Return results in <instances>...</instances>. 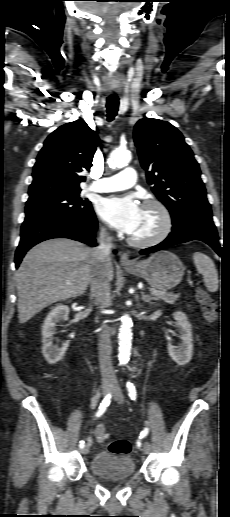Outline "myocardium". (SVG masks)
<instances>
[{"mask_svg": "<svg viewBox=\"0 0 230 517\" xmlns=\"http://www.w3.org/2000/svg\"><path fill=\"white\" fill-rule=\"evenodd\" d=\"M152 207L157 210L161 218V225L159 230L148 238H135L129 236V243L135 247H150L157 245L164 241L172 232L173 217L169 208L159 199H147L143 203V208Z\"/></svg>", "mask_w": 230, "mask_h": 517, "instance_id": "myocardium-1", "label": "myocardium"}]
</instances>
